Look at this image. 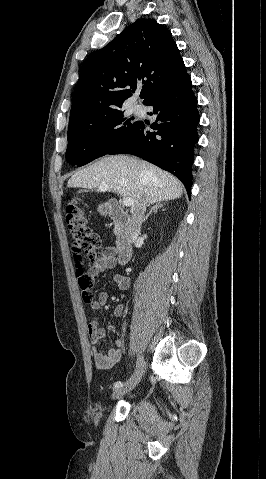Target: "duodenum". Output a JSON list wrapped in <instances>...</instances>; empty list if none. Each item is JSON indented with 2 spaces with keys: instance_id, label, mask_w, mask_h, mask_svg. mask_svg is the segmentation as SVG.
<instances>
[{
  "instance_id": "410a0bca",
  "label": "duodenum",
  "mask_w": 266,
  "mask_h": 479,
  "mask_svg": "<svg viewBox=\"0 0 266 479\" xmlns=\"http://www.w3.org/2000/svg\"><path fill=\"white\" fill-rule=\"evenodd\" d=\"M106 212L119 226L116 262L125 264L131 259L133 253L131 229L134 220L117 202H109L106 206Z\"/></svg>"
}]
</instances>
